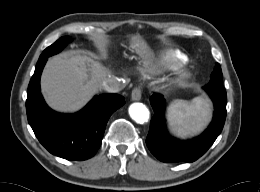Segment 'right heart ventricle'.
Here are the masks:
<instances>
[{
	"label": "right heart ventricle",
	"mask_w": 260,
	"mask_h": 192,
	"mask_svg": "<svg viewBox=\"0 0 260 192\" xmlns=\"http://www.w3.org/2000/svg\"><path fill=\"white\" fill-rule=\"evenodd\" d=\"M186 61V57L178 52L172 53L167 57V62L172 68H177Z\"/></svg>",
	"instance_id": "e07e8e85"
}]
</instances>
